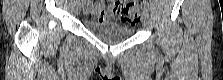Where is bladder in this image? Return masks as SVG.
Returning <instances> with one entry per match:
<instances>
[{"label":"bladder","mask_w":223,"mask_h":80,"mask_svg":"<svg viewBox=\"0 0 223 80\" xmlns=\"http://www.w3.org/2000/svg\"><path fill=\"white\" fill-rule=\"evenodd\" d=\"M84 26L89 33L103 41H123L134 34L132 27L113 22L86 19Z\"/></svg>","instance_id":"obj_1"}]
</instances>
